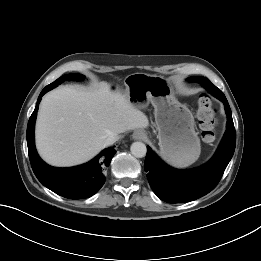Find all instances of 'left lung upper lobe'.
Wrapping results in <instances>:
<instances>
[{
    "mask_svg": "<svg viewBox=\"0 0 261 261\" xmlns=\"http://www.w3.org/2000/svg\"><path fill=\"white\" fill-rule=\"evenodd\" d=\"M196 77H197V76H196ZM193 78H194V77H190L188 80L193 81Z\"/></svg>",
    "mask_w": 261,
    "mask_h": 261,
    "instance_id": "1",
    "label": "left lung upper lobe"
}]
</instances>
